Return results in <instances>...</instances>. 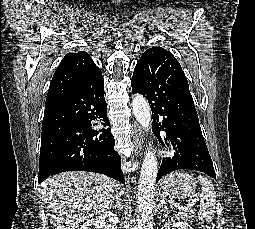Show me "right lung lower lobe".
Listing matches in <instances>:
<instances>
[{"label":"right lung lower lobe","mask_w":255,"mask_h":229,"mask_svg":"<svg viewBox=\"0 0 255 229\" xmlns=\"http://www.w3.org/2000/svg\"><path fill=\"white\" fill-rule=\"evenodd\" d=\"M58 122H63L64 133L50 167L39 168L38 183L65 171L97 172L125 182L98 67L84 74L66 97L46 104L42 130Z\"/></svg>","instance_id":"98d812e1"}]
</instances>
